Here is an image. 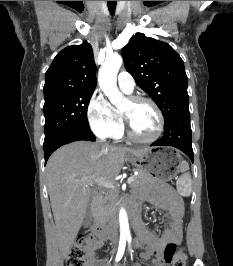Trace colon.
Wrapping results in <instances>:
<instances>
[{
  "mask_svg": "<svg viewBox=\"0 0 233 266\" xmlns=\"http://www.w3.org/2000/svg\"><path fill=\"white\" fill-rule=\"evenodd\" d=\"M92 238L93 236H79L76 239L66 259L67 266H86L85 257ZM164 260L170 266H186L187 256L182 247L171 243L165 247Z\"/></svg>",
  "mask_w": 233,
  "mask_h": 266,
  "instance_id": "5ec220e1",
  "label": "colon"
}]
</instances>
